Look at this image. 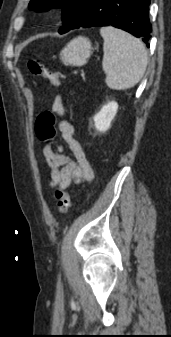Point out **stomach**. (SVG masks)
Segmentation results:
<instances>
[{
	"label": "stomach",
	"mask_w": 171,
	"mask_h": 337,
	"mask_svg": "<svg viewBox=\"0 0 171 337\" xmlns=\"http://www.w3.org/2000/svg\"><path fill=\"white\" fill-rule=\"evenodd\" d=\"M92 54L89 39L77 37L70 41L60 52V59L65 65L83 66Z\"/></svg>",
	"instance_id": "1"
}]
</instances>
